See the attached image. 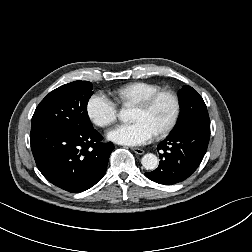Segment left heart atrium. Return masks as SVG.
<instances>
[{
    "mask_svg": "<svg viewBox=\"0 0 252 252\" xmlns=\"http://www.w3.org/2000/svg\"><path fill=\"white\" fill-rule=\"evenodd\" d=\"M154 135V130L142 120L127 124H119L112 128L107 134L111 141L129 146L145 144L150 141Z\"/></svg>",
    "mask_w": 252,
    "mask_h": 252,
    "instance_id": "1",
    "label": "left heart atrium"
}]
</instances>
